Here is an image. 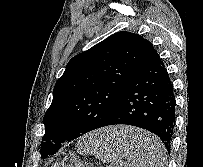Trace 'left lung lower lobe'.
<instances>
[{
  "mask_svg": "<svg viewBox=\"0 0 203 167\" xmlns=\"http://www.w3.org/2000/svg\"><path fill=\"white\" fill-rule=\"evenodd\" d=\"M175 107L172 81L154 50L122 91L114 113L100 127L126 124L146 129L156 134L169 151L175 126ZM107 146L115 148L125 146V143L110 138ZM60 147V144L54 145L49 155L55 154Z\"/></svg>",
  "mask_w": 203,
  "mask_h": 167,
  "instance_id": "left-lung-lower-lobe-1",
  "label": "left lung lower lobe"
}]
</instances>
